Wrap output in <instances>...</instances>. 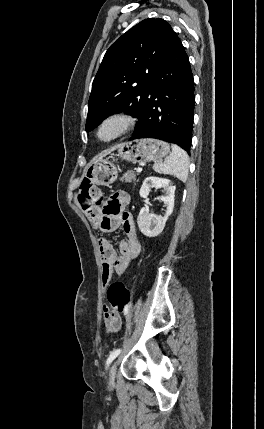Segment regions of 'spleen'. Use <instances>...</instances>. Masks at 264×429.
<instances>
[{
	"mask_svg": "<svg viewBox=\"0 0 264 429\" xmlns=\"http://www.w3.org/2000/svg\"><path fill=\"white\" fill-rule=\"evenodd\" d=\"M171 147V154L164 161L155 163L153 169L157 173L172 175L182 182H186L188 178L189 157L176 144H172Z\"/></svg>",
	"mask_w": 264,
	"mask_h": 429,
	"instance_id": "3e777b00",
	"label": "spleen"
}]
</instances>
